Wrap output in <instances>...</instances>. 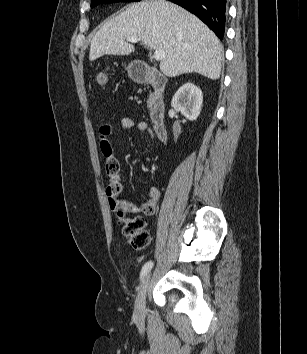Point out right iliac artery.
Here are the masks:
<instances>
[{"mask_svg":"<svg viewBox=\"0 0 307 354\" xmlns=\"http://www.w3.org/2000/svg\"><path fill=\"white\" fill-rule=\"evenodd\" d=\"M153 265H154V263L152 261H148L144 264V266L142 267L141 273H140L141 281L144 280V278L147 276L149 271L152 269Z\"/></svg>","mask_w":307,"mask_h":354,"instance_id":"1","label":"right iliac artery"}]
</instances>
